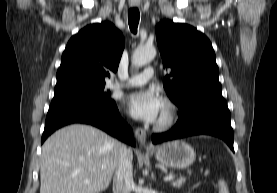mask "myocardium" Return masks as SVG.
<instances>
[{
	"mask_svg": "<svg viewBox=\"0 0 277 193\" xmlns=\"http://www.w3.org/2000/svg\"><path fill=\"white\" fill-rule=\"evenodd\" d=\"M163 102L166 107V114L154 125V129L158 131H164L171 128L176 123L179 115L178 107L172 100L165 99Z\"/></svg>",
	"mask_w": 277,
	"mask_h": 193,
	"instance_id": "1",
	"label": "myocardium"
}]
</instances>
